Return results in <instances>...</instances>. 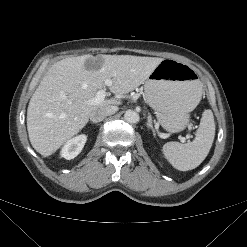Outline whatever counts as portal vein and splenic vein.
<instances>
[{
	"mask_svg": "<svg viewBox=\"0 0 247 247\" xmlns=\"http://www.w3.org/2000/svg\"><path fill=\"white\" fill-rule=\"evenodd\" d=\"M106 85L110 86L111 85V81L107 80L106 81ZM106 96V89L105 88H101L97 91L95 97L93 99L90 100L91 104H100L104 101ZM181 142H185V137H180Z\"/></svg>",
	"mask_w": 247,
	"mask_h": 247,
	"instance_id": "portal-vein-and-splenic-vein-1",
	"label": "portal vein and splenic vein"
}]
</instances>
